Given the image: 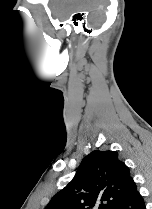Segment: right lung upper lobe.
Wrapping results in <instances>:
<instances>
[{"label":"right lung upper lobe","instance_id":"1","mask_svg":"<svg viewBox=\"0 0 152 209\" xmlns=\"http://www.w3.org/2000/svg\"><path fill=\"white\" fill-rule=\"evenodd\" d=\"M135 189L129 168L116 151L95 150L45 209H114Z\"/></svg>","mask_w":152,"mask_h":209}]
</instances>
